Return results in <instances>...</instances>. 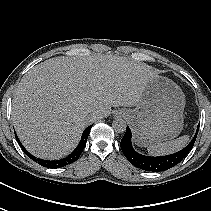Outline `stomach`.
Returning <instances> with one entry per match:
<instances>
[{
  "instance_id": "obj_1",
  "label": "stomach",
  "mask_w": 211,
  "mask_h": 211,
  "mask_svg": "<svg viewBox=\"0 0 211 211\" xmlns=\"http://www.w3.org/2000/svg\"><path fill=\"white\" fill-rule=\"evenodd\" d=\"M185 95L172 80L156 76L146 86L134 109H120L139 146H151L177 137L183 129Z\"/></svg>"
}]
</instances>
